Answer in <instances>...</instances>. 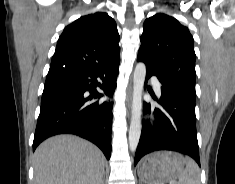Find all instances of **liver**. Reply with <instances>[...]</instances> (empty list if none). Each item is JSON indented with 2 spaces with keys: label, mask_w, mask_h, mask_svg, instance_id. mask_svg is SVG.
Here are the masks:
<instances>
[{
  "label": "liver",
  "mask_w": 235,
  "mask_h": 184,
  "mask_svg": "<svg viewBox=\"0 0 235 184\" xmlns=\"http://www.w3.org/2000/svg\"><path fill=\"white\" fill-rule=\"evenodd\" d=\"M105 158L77 136H53L34 154V184H101Z\"/></svg>",
  "instance_id": "liver-1"
}]
</instances>
